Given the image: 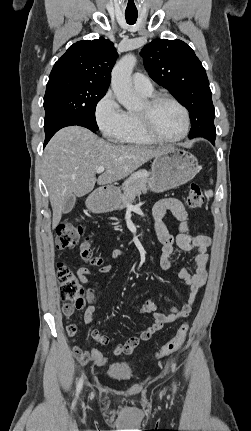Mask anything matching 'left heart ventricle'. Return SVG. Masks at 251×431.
Returning a JSON list of instances; mask_svg holds the SVG:
<instances>
[{
	"label": "left heart ventricle",
	"instance_id": "1",
	"mask_svg": "<svg viewBox=\"0 0 251 431\" xmlns=\"http://www.w3.org/2000/svg\"><path fill=\"white\" fill-rule=\"evenodd\" d=\"M146 104L139 112L144 111ZM153 124L157 133L164 138H175L181 134L184 126L182 111L173 103L163 102L152 114Z\"/></svg>",
	"mask_w": 251,
	"mask_h": 431
}]
</instances>
